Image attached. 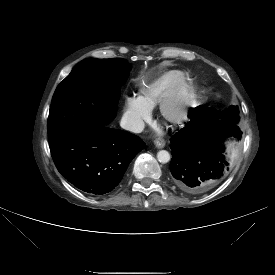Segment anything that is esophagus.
<instances>
[{"instance_id":"1","label":"esophagus","mask_w":275,"mask_h":275,"mask_svg":"<svg viewBox=\"0 0 275 275\" xmlns=\"http://www.w3.org/2000/svg\"><path fill=\"white\" fill-rule=\"evenodd\" d=\"M157 148H163L165 146V141L162 138H157L154 141Z\"/></svg>"}]
</instances>
